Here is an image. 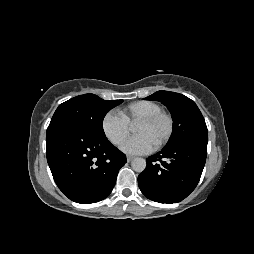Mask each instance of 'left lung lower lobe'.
Instances as JSON below:
<instances>
[{
    "label": "left lung lower lobe",
    "instance_id": "1",
    "mask_svg": "<svg viewBox=\"0 0 254 254\" xmlns=\"http://www.w3.org/2000/svg\"><path fill=\"white\" fill-rule=\"evenodd\" d=\"M207 142L187 140L149 156L146 169L138 176L142 193L150 200L166 204L185 199L200 180Z\"/></svg>",
    "mask_w": 254,
    "mask_h": 254
}]
</instances>
